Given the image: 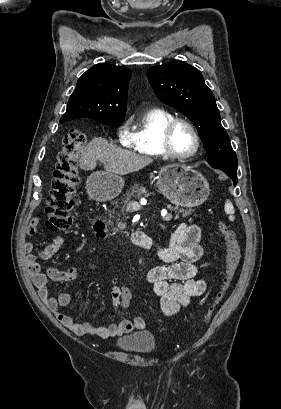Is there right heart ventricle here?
Masks as SVG:
<instances>
[{"label":"right heart ventricle","mask_w":281,"mask_h":409,"mask_svg":"<svg viewBox=\"0 0 281 409\" xmlns=\"http://www.w3.org/2000/svg\"><path fill=\"white\" fill-rule=\"evenodd\" d=\"M176 116L163 108L148 110L135 124L127 143L129 150L144 158L168 157L162 147L166 125Z\"/></svg>","instance_id":"e07e8e85"}]
</instances>
